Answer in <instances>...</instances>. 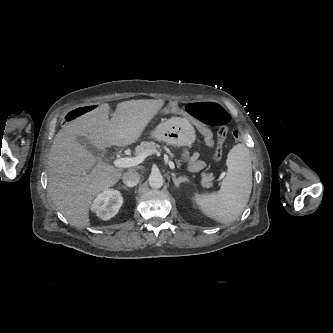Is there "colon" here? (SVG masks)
I'll return each instance as SVG.
<instances>
[{"label":"colon","mask_w":333,"mask_h":333,"mask_svg":"<svg viewBox=\"0 0 333 333\" xmlns=\"http://www.w3.org/2000/svg\"><path fill=\"white\" fill-rule=\"evenodd\" d=\"M94 105H87L81 109L71 111L67 114V121H72L78 116L84 115L94 110ZM188 113L199 120L206 126H217V144L213 154V160L218 161L222 154L223 144L228 134V124L230 115L217 103L214 102H198L187 105ZM242 128L239 125H234L231 128L230 138L235 145L241 144Z\"/></svg>","instance_id":"colon-1"}]
</instances>
